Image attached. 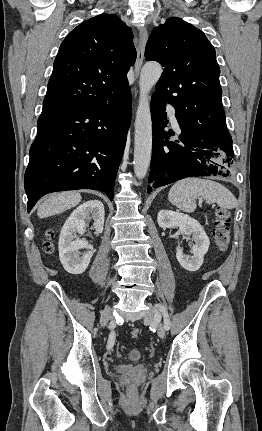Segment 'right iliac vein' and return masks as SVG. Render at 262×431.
<instances>
[{
	"label": "right iliac vein",
	"instance_id": "63e3f726",
	"mask_svg": "<svg viewBox=\"0 0 262 431\" xmlns=\"http://www.w3.org/2000/svg\"><path fill=\"white\" fill-rule=\"evenodd\" d=\"M111 317H112L111 307L105 308L101 316V325L105 326L108 323V321L111 319Z\"/></svg>",
	"mask_w": 262,
	"mask_h": 431
}]
</instances>
